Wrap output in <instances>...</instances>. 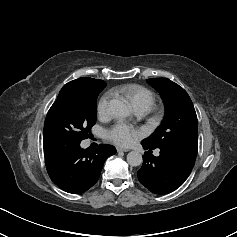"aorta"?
<instances>
[{"label": "aorta", "mask_w": 237, "mask_h": 237, "mask_svg": "<svg viewBox=\"0 0 237 237\" xmlns=\"http://www.w3.org/2000/svg\"><path fill=\"white\" fill-rule=\"evenodd\" d=\"M110 112L117 118H126L130 116V108L129 106L122 100L113 99L109 103ZM143 162V158L141 153L137 151H131L127 154V163L130 166L136 167L141 165Z\"/></svg>", "instance_id": "obj_1"}]
</instances>
